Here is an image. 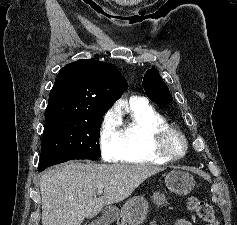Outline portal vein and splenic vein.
<instances>
[{
  "label": "portal vein and splenic vein",
  "instance_id": "1",
  "mask_svg": "<svg viewBox=\"0 0 237 225\" xmlns=\"http://www.w3.org/2000/svg\"><path fill=\"white\" fill-rule=\"evenodd\" d=\"M102 193H103V187L98 190L97 194H98V195H101Z\"/></svg>",
  "mask_w": 237,
  "mask_h": 225
}]
</instances>
